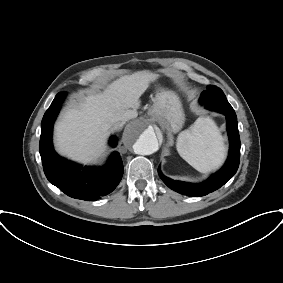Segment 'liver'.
Listing matches in <instances>:
<instances>
[{
    "mask_svg": "<svg viewBox=\"0 0 283 283\" xmlns=\"http://www.w3.org/2000/svg\"><path fill=\"white\" fill-rule=\"evenodd\" d=\"M156 79L146 71L122 76L68 109L55 126L57 150L84 164L95 161L105 151L110 126L138 116L139 99Z\"/></svg>",
    "mask_w": 283,
    "mask_h": 283,
    "instance_id": "1",
    "label": "liver"
}]
</instances>
